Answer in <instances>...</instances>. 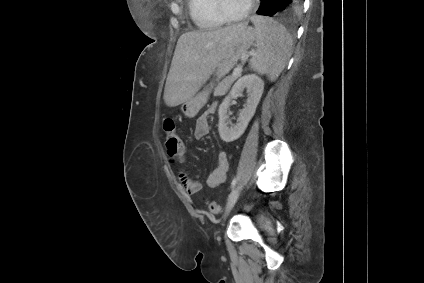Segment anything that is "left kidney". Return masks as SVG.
<instances>
[{
  "instance_id": "left-kidney-1",
  "label": "left kidney",
  "mask_w": 424,
  "mask_h": 283,
  "mask_svg": "<svg viewBox=\"0 0 424 283\" xmlns=\"http://www.w3.org/2000/svg\"><path fill=\"white\" fill-rule=\"evenodd\" d=\"M244 89H247V100L243 105V109L240 112L237 123L232 124L228 119V107L230 101L234 97L242 96ZM264 90L263 80L255 75H244L240 77L237 82L232 87L229 95L221 103L218 115H219V124L218 130L220 137L225 142H232L240 138L245 132L249 121L255 114L257 105L261 99ZM229 125H231L229 127Z\"/></svg>"
}]
</instances>
